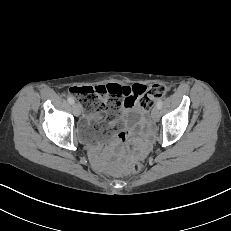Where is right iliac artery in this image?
Masks as SVG:
<instances>
[{"label": "right iliac artery", "instance_id": "right-iliac-artery-1", "mask_svg": "<svg viewBox=\"0 0 231 231\" xmlns=\"http://www.w3.org/2000/svg\"><path fill=\"white\" fill-rule=\"evenodd\" d=\"M68 102H69L70 104H74V99H73L72 97H68Z\"/></svg>", "mask_w": 231, "mask_h": 231}]
</instances>
